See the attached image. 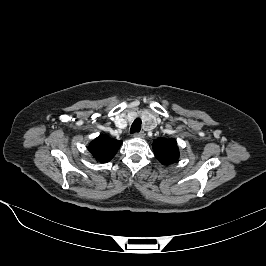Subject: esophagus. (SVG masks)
<instances>
[{
	"label": "esophagus",
	"instance_id": "1",
	"mask_svg": "<svg viewBox=\"0 0 266 266\" xmlns=\"http://www.w3.org/2000/svg\"><path fill=\"white\" fill-rule=\"evenodd\" d=\"M144 136H145L144 132L134 133V137H137V138H144Z\"/></svg>",
	"mask_w": 266,
	"mask_h": 266
}]
</instances>
